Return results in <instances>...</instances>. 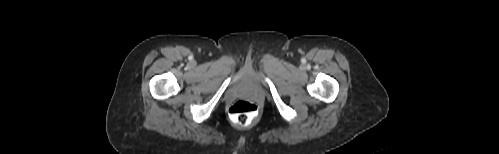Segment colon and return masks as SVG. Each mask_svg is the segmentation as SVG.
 Returning <instances> with one entry per match:
<instances>
[{
  "label": "colon",
  "mask_w": 499,
  "mask_h": 154,
  "mask_svg": "<svg viewBox=\"0 0 499 154\" xmlns=\"http://www.w3.org/2000/svg\"><path fill=\"white\" fill-rule=\"evenodd\" d=\"M257 106L248 99H240L229 109L230 119L241 126L250 124L257 116Z\"/></svg>",
  "instance_id": "obj_1"
}]
</instances>
